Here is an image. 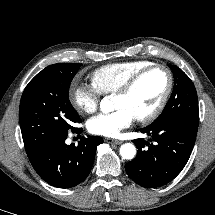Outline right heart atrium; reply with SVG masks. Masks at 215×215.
I'll return each mask as SVG.
<instances>
[{
    "label": "right heart atrium",
    "mask_w": 215,
    "mask_h": 215,
    "mask_svg": "<svg viewBox=\"0 0 215 215\" xmlns=\"http://www.w3.org/2000/svg\"><path fill=\"white\" fill-rule=\"evenodd\" d=\"M101 92L93 83L74 81L69 90V98L78 112L93 113L97 110Z\"/></svg>",
    "instance_id": "obj_1"
}]
</instances>
